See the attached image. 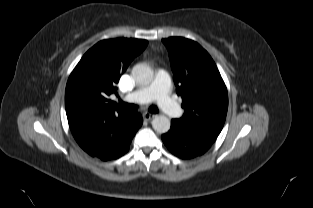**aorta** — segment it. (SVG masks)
<instances>
[{"label":"aorta","mask_w":313,"mask_h":208,"mask_svg":"<svg viewBox=\"0 0 313 208\" xmlns=\"http://www.w3.org/2000/svg\"><path fill=\"white\" fill-rule=\"evenodd\" d=\"M132 75L140 85H149L154 77L153 70L145 63L136 64L132 69ZM170 125V119L164 115H157L152 120L153 129L160 134L168 132Z\"/></svg>","instance_id":"1"}]
</instances>
